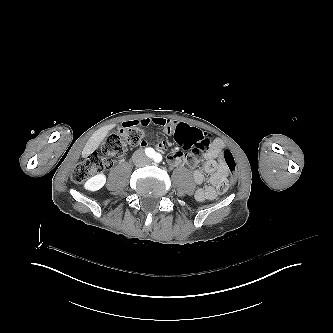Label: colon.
Here are the masks:
<instances>
[{
	"label": "colon",
	"mask_w": 333,
	"mask_h": 333,
	"mask_svg": "<svg viewBox=\"0 0 333 333\" xmlns=\"http://www.w3.org/2000/svg\"><path fill=\"white\" fill-rule=\"evenodd\" d=\"M179 129H171V138L180 144H184L186 148L191 149V159L194 161L200 160L203 154L215 143L213 134L207 129L198 127L191 130V127L184 122H181ZM146 134L139 128L123 129L118 128L116 134L108 136L102 146L101 155H92L84 163L75 166L72 172L71 179L74 182H81L91 176L99 174L106 169H109L116 163L124 153V148L127 145L136 146L144 142ZM222 160L230 171V178L221 182L219 190L225 192L232 186L237 179L236 161L233 154L225 150L222 154Z\"/></svg>",
	"instance_id": "1"
}]
</instances>
